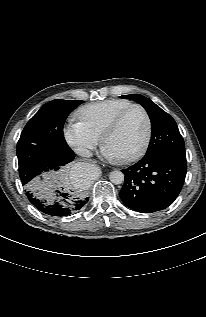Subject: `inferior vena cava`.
Here are the masks:
<instances>
[{
	"label": "inferior vena cava",
	"mask_w": 206,
	"mask_h": 317,
	"mask_svg": "<svg viewBox=\"0 0 206 317\" xmlns=\"http://www.w3.org/2000/svg\"><path fill=\"white\" fill-rule=\"evenodd\" d=\"M75 152L82 157H91L92 156V152L85 148V147H78L75 149Z\"/></svg>",
	"instance_id": "602c4592"
}]
</instances>
